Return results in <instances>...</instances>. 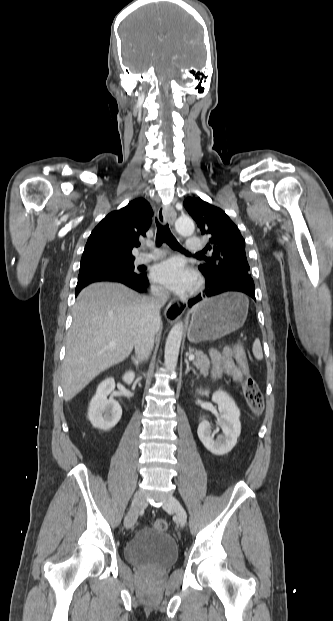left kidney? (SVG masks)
Returning a JSON list of instances; mask_svg holds the SVG:
<instances>
[{
  "mask_svg": "<svg viewBox=\"0 0 333 621\" xmlns=\"http://www.w3.org/2000/svg\"><path fill=\"white\" fill-rule=\"evenodd\" d=\"M201 395H209V391L199 390ZM212 401L218 405L220 425L223 435L214 440L211 425L203 420L198 426V437L203 445L215 455H224L230 452L237 443L241 433L240 410L235 401L224 391L217 390L212 395Z\"/></svg>",
  "mask_w": 333,
  "mask_h": 621,
  "instance_id": "left-kidney-1",
  "label": "left kidney"
}]
</instances>
